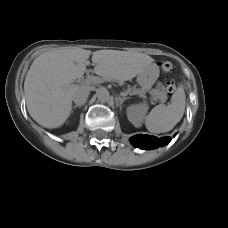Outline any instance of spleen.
<instances>
[{"instance_id":"spleen-1","label":"spleen","mask_w":228,"mask_h":228,"mask_svg":"<svg viewBox=\"0 0 228 228\" xmlns=\"http://www.w3.org/2000/svg\"><path fill=\"white\" fill-rule=\"evenodd\" d=\"M186 96L182 85H179L171 97L169 105H157L145 117V126L151 133H164L172 130L182 119L185 111Z\"/></svg>"}]
</instances>
